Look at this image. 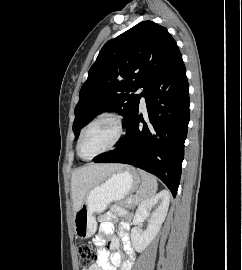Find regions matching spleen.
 Masks as SVG:
<instances>
[{
    "mask_svg": "<svg viewBox=\"0 0 242 270\" xmlns=\"http://www.w3.org/2000/svg\"><path fill=\"white\" fill-rule=\"evenodd\" d=\"M139 173L142 178V184L134 196V201L140 204L143 201L151 198L156 193L158 184L153 175L143 170H139Z\"/></svg>",
    "mask_w": 242,
    "mask_h": 270,
    "instance_id": "3e777b00",
    "label": "spleen"
}]
</instances>
